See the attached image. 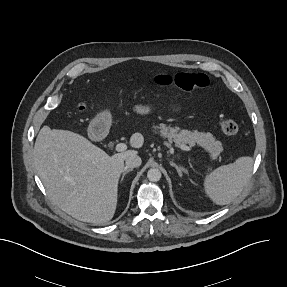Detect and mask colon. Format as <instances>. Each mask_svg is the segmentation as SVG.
I'll return each mask as SVG.
<instances>
[{"label": "colon", "mask_w": 287, "mask_h": 287, "mask_svg": "<svg viewBox=\"0 0 287 287\" xmlns=\"http://www.w3.org/2000/svg\"><path fill=\"white\" fill-rule=\"evenodd\" d=\"M153 81L161 86L174 84L178 88L188 91L202 90L209 84V79L205 74L189 72H180L175 75L158 74L154 76ZM84 109L85 107L82 106L81 110ZM219 126L221 130L228 135H235L240 130V127L235 120L224 116L219 119Z\"/></svg>", "instance_id": "1"}]
</instances>
